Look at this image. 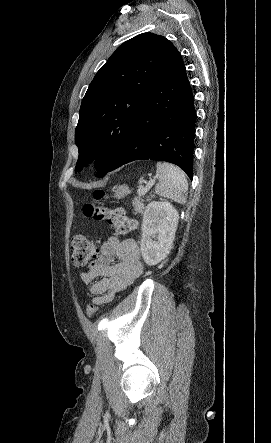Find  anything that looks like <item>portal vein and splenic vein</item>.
I'll return each instance as SVG.
<instances>
[{"label":"portal vein and splenic vein","mask_w":271,"mask_h":443,"mask_svg":"<svg viewBox=\"0 0 271 443\" xmlns=\"http://www.w3.org/2000/svg\"><path fill=\"white\" fill-rule=\"evenodd\" d=\"M156 180H149V182L145 183V185L143 187H141L140 191H139V197H142L146 194H148L149 192H151L152 188H153V184H155Z\"/></svg>","instance_id":"1"}]
</instances>
